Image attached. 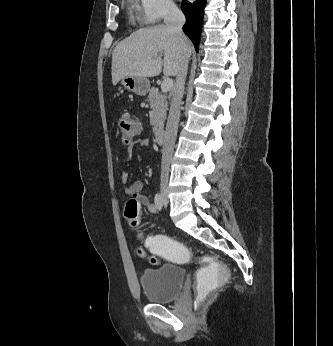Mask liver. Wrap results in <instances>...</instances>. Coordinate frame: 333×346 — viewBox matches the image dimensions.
I'll use <instances>...</instances> for the list:
<instances>
[{"mask_svg": "<svg viewBox=\"0 0 333 346\" xmlns=\"http://www.w3.org/2000/svg\"><path fill=\"white\" fill-rule=\"evenodd\" d=\"M185 50L189 57L192 47L187 37ZM180 57L179 38L166 25L140 29L113 50L112 83L116 85L126 76L155 77L162 70L165 76H176Z\"/></svg>", "mask_w": 333, "mask_h": 346, "instance_id": "obj_1", "label": "liver"}]
</instances>
